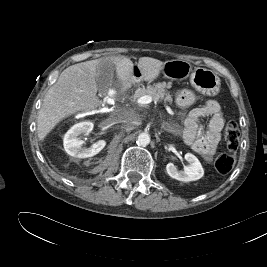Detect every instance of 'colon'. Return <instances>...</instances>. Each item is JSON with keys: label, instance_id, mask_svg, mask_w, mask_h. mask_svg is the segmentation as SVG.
I'll use <instances>...</instances> for the list:
<instances>
[{"label": "colon", "instance_id": "obj_1", "mask_svg": "<svg viewBox=\"0 0 267 267\" xmlns=\"http://www.w3.org/2000/svg\"><path fill=\"white\" fill-rule=\"evenodd\" d=\"M224 140L227 152L221 153L215 160V167L221 174L229 173L236 162V151L239 146L240 131L238 125L230 121L224 129Z\"/></svg>", "mask_w": 267, "mask_h": 267}]
</instances>
